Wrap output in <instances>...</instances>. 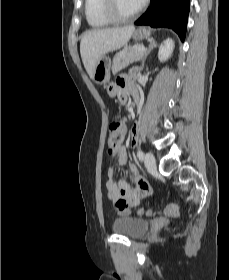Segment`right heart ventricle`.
<instances>
[{
    "label": "right heart ventricle",
    "instance_id": "obj_1",
    "mask_svg": "<svg viewBox=\"0 0 229 280\" xmlns=\"http://www.w3.org/2000/svg\"><path fill=\"white\" fill-rule=\"evenodd\" d=\"M103 0H85L84 13L89 26L102 29L112 25V22L104 17L102 13Z\"/></svg>",
    "mask_w": 229,
    "mask_h": 280
}]
</instances>
